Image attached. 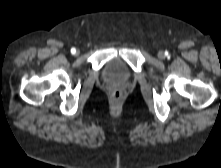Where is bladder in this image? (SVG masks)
I'll return each instance as SVG.
<instances>
[{
	"label": "bladder",
	"instance_id": "1",
	"mask_svg": "<svg viewBox=\"0 0 221 168\" xmlns=\"http://www.w3.org/2000/svg\"><path fill=\"white\" fill-rule=\"evenodd\" d=\"M105 77L110 80H119L127 77V66L126 64L116 58L107 63L104 68Z\"/></svg>",
	"mask_w": 221,
	"mask_h": 168
}]
</instances>
